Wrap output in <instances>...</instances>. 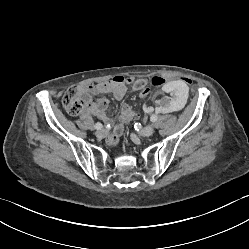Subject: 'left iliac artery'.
I'll use <instances>...</instances> for the list:
<instances>
[{
	"label": "left iliac artery",
	"mask_w": 249,
	"mask_h": 249,
	"mask_svg": "<svg viewBox=\"0 0 249 249\" xmlns=\"http://www.w3.org/2000/svg\"><path fill=\"white\" fill-rule=\"evenodd\" d=\"M150 120H151L152 122H156V120H157V115L152 114L151 117H150Z\"/></svg>",
	"instance_id": "obj_1"
}]
</instances>
